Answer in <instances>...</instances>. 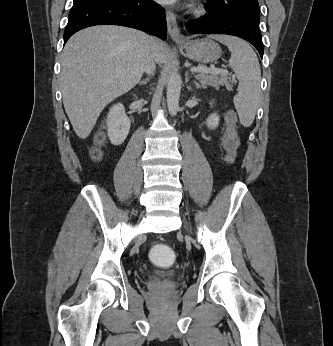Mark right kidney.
Instances as JSON below:
<instances>
[{
	"label": "right kidney",
	"instance_id": "right-kidney-1",
	"mask_svg": "<svg viewBox=\"0 0 333 346\" xmlns=\"http://www.w3.org/2000/svg\"><path fill=\"white\" fill-rule=\"evenodd\" d=\"M130 131V119L125 114L123 104L111 107L107 117L108 137L113 145L122 144Z\"/></svg>",
	"mask_w": 333,
	"mask_h": 346
}]
</instances>
